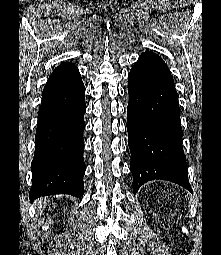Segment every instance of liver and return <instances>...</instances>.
Here are the masks:
<instances>
[{"mask_svg": "<svg viewBox=\"0 0 221 255\" xmlns=\"http://www.w3.org/2000/svg\"><path fill=\"white\" fill-rule=\"evenodd\" d=\"M47 202H49L47 199H42L41 202H39V205H38V211L40 213H42L43 211V208H44V204H46Z\"/></svg>", "mask_w": 221, "mask_h": 255, "instance_id": "liver-1", "label": "liver"}]
</instances>
